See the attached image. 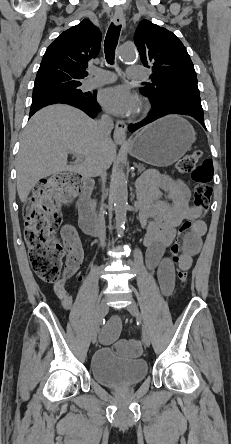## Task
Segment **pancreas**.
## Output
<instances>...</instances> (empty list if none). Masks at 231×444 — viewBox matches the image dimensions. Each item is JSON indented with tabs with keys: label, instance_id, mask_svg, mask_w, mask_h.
Here are the masks:
<instances>
[{
	"label": "pancreas",
	"instance_id": "pancreas-1",
	"mask_svg": "<svg viewBox=\"0 0 231 444\" xmlns=\"http://www.w3.org/2000/svg\"><path fill=\"white\" fill-rule=\"evenodd\" d=\"M136 167L138 168L139 172H143L146 169L145 165L144 164H140V163L136 164Z\"/></svg>",
	"mask_w": 231,
	"mask_h": 444
}]
</instances>
